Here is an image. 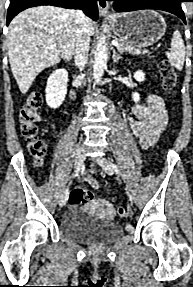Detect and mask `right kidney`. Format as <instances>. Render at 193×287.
<instances>
[{
    "label": "right kidney",
    "mask_w": 193,
    "mask_h": 287,
    "mask_svg": "<svg viewBox=\"0 0 193 287\" xmlns=\"http://www.w3.org/2000/svg\"><path fill=\"white\" fill-rule=\"evenodd\" d=\"M68 73L65 69H57L51 73L46 86V103L56 109L63 103L67 93Z\"/></svg>",
    "instance_id": "right-kidney-1"
}]
</instances>
